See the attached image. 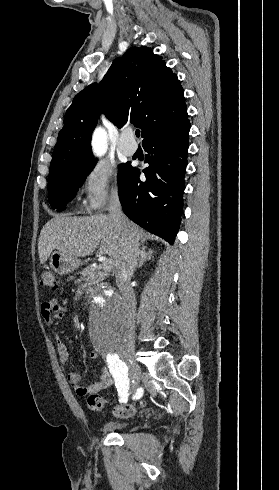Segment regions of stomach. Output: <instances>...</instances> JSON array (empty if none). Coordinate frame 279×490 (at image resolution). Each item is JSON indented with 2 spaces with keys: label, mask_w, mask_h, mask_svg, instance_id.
Here are the masks:
<instances>
[{
  "label": "stomach",
  "mask_w": 279,
  "mask_h": 490,
  "mask_svg": "<svg viewBox=\"0 0 279 490\" xmlns=\"http://www.w3.org/2000/svg\"><path fill=\"white\" fill-rule=\"evenodd\" d=\"M50 268L59 274V276H67L72 274L74 270H77L80 266V260L78 258H71L66 256L62 252H53L49 258Z\"/></svg>",
  "instance_id": "stomach-1"
}]
</instances>
